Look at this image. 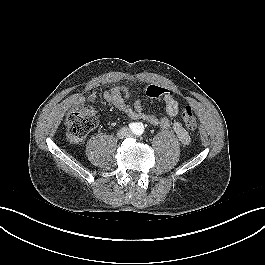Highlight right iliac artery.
<instances>
[{"mask_svg": "<svg viewBox=\"0 0 265 265\" xmlns=\"http://www.w3.org/2000/svg\"><path fill=\"white\" fill-rule=\"evenodd\" d=\"M138 126H139V123H130V124H129L130 129H131L132 131H134V132L137 131Z\"/></svg>", "mask_w": 265, "mask_h": 265, "instance_id": "82829eb1", "label": "right iliac artery"}]
</instances>
